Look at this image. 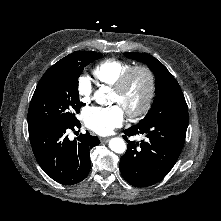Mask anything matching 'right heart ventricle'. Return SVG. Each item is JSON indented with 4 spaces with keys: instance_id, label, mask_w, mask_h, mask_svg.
<instances>
[{
    "instance_id": "1",
    "label": "right heart ventricle",
    "mask_w": 221,
    "mask_h": 221,
    "mask_svg": "<svg viewBox=\"0 0 221 221\" xmlns=\"http://www.w3.org/2000/svg\"><path fill=\"white\" fill-rule=\"evenodd\" d=\"M131 63L109 58L101 61L93 68V76L101 83L114 87L120 77L131 67Z\"/></svg>"
}]
</instances>
